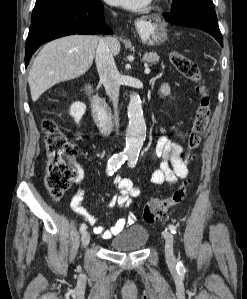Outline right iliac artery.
<instances>
[{
	"instance_id": "obj_1",
	"label": "right iliac artery",
	"mask_w": 247,
	"mask_h": 299,
	"mask_svg": "<svg viewBox=\"0 0 247 299\" xmlns=\"http://www.w3.org/2000/svg\"><path fill=\"white\" fill-rule=\"evenodd\" d=\"M128 159V154L126 153H119L113 155L108 161V175H113L114 172L117 171L118 168ZM87 226L85 223L81 224L80 232L83 233L86 230Z\"/></svg>"
}]
</instances>
